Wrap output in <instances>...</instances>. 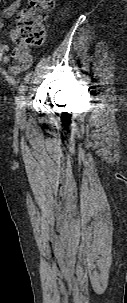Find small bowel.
<instances>
[{"mask_svg":"<svg viewBox=\"0 0 127 303\" xmlns=\"http://www.w3.org/2000/svg\"><path fill=\"white\" fill-rule=\"evenodd\" d=\"M23 0H13L0 12V29H5V19L11 18L22 5ZM0 55L2 62L8 65V72L12 75H19L28 70L33 62L32 56L27 47L17 46L11 50L9 44L0 42Z\"/></svg>","mask_w":127,"mask_h":303,"instance_id":"obj_1","label":"small bowel"}]
</instances>
